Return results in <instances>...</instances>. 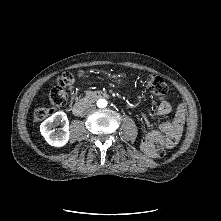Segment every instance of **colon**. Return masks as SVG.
I'll use <instances>...</instances> for the list:
<instances>
[{
    "instance_id": "obj_1",
    "label": "colon",
    "mask_w": 221,
    "mask_h": 221,
    "mask_svg": "<svg viewBox=\"0 0 221 221\" xmlns=\"http://www.w3.org/2000/svg\"><path fill=\"white\" fill-rule=\"evenodd\" d=\"M77 78L74 74L65 72L63 73L57 82V85L52 89L50 93L51 108H37L34 112V119L36 121H42L51 116L56 109L64 107L68 103L67 90L74 87ZM146 88L153 96H163L168 90V86L164 79L158 75H150L146 80ZM172 145L169 138H163L159 143V146L154 149L153 155L157 157H163L166 154L167 148Z\"/></svg>"
}]
</instances>
